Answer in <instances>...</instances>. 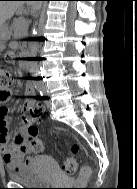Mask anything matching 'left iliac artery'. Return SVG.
<instances>
[{
	"mask_svg": "<svg viewBox=\"0 0 137 189\" xmlns=\"http://www.w3.org/2000/svg\"><path fill=\"white\" fill-rule=\"evenodd\" d=\"M39 92H40V95H41V96H44V95H45V91H44V90H40Z\"/></svg>",
	"mask_w": 137,
	"mask_h": 189,
	"instance_id": "44dca946",
	"label": "left iliac artery"
}]
</instances>
